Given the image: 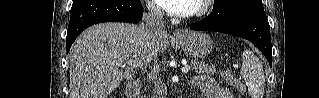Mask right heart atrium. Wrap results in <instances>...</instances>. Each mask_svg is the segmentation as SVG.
Segmentation results:
<instances>
[{"label":"right heart atrium","mask_w":319,"mask_h":98,"mask_svg":"<svg viewBox=\"0 0 319 98\" xmlns=\"http://www.w3.org/2000/svg\"><path fill=\"white\" fill-rule=\"evenodd\" d=\"M149 11L154 15H160V8L158 6H151Z\"/></svg>","instance_id":"obj_1"}]
</instances>
